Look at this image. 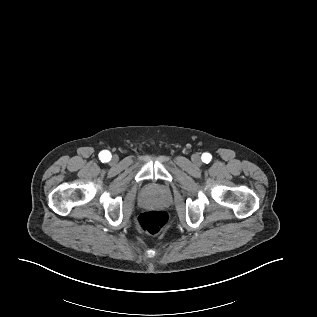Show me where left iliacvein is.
<instances>
[{
	"instance_id": "obj_1",
	"label": "left iliac vein",
	"mask_w": 317,
	"mask_h": 317,
	"mask_svg": "<svg viewBox=\"0 0 317 317\" xmlns=\"http://www.w3.org/2000/svg\"><path fill=\"white\" fill-rule=\"evenodd\" d=\"M192 161L196 164V165H199L201 163V159H200V156L198 154H194L192 156Z\"/></svg>"
}]
</instances>
